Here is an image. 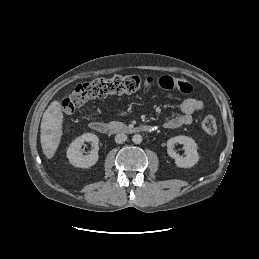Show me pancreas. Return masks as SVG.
<instances>
[{
  "label": "pancreas",
  "mask_w": 259,
  "mask_h": 259,
  "mask_svg": "<svg viewBox=\"0 0 259 259\" xmlns=\"http://www.w3.org/2000/svg\"><path fill=\"white\" fill-rule=\"evenodd\" d=\"M109 126H110V128L116 129V130H120V129L126 128V126H125L123 123L118 122V121H112V122H110V123H109Z\"/></svg>",
  "instance_id": "obj_1"
}]
</instances>
